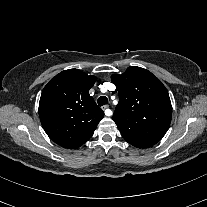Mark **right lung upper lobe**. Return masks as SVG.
Masks as SVG:
<instances>
[{
    "instance_id": "1",
    "label": "right lung upper lobe",
    "mask_w": 207,
    "mask_h": 207,
    "mask_svg": "<svg viewBox=\"0 0 207 207\" xmlns=\"http://www.w3.org/2000/svg\"><path fill=\"white\" fill-rule=\"evenodd\" d=\"M96 81L78 69L62 71L44 87L39 116L47 135L65 148H78L93 135L104 112L89 95Z\"/></svg>"
}]
</instances>
